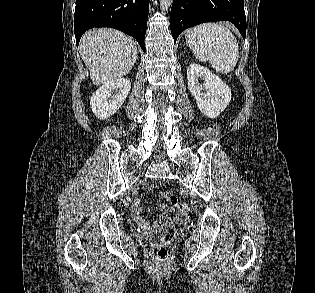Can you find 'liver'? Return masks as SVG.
Segmentation results:
<instances>
[{"label":"liver","instance_id":"6515ba94","mask_svg":"<svg viewBox=\"0 0 315 293\" xmlns=\"http://www.w3.org/2000/svg\"><path fill=\"white\" fill-rule=\"evenodd\" d=\"M79 51L93 84L101 85L126 75L137 59L133 39L114 29H93L85 33Z\"/></svg>","mask_w":315,"mask_h":293}]
</instances>
